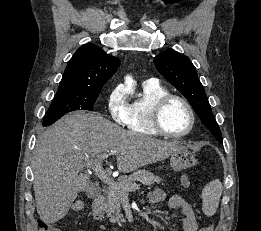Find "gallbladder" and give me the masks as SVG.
Masks as SVG:
<instances>
[{"label": "gallbladder", "mask_w": 261, "mask_h": 231, "mask_svg": "<svg viewBox=\"0 0 261 231\" xmlns=\"http://www.w3.org/2000/svg\"><path fill=\"white\" fill-rule=\"evenodd\" d=\"M97 193H98V188H97V186L91 184V189H90L89 191H87V195L96 196Z\"/></svg>", "instance_id": "gallbladder-1"}]
</instances>
